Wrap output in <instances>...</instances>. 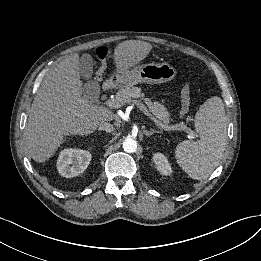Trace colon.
Listing matches in <instances>:
<instances>
[{"label":"colon","instance_id":"colon-1","mask_svg":"<svg viewBox=\"0 0 261 261\" xmlns=\"http://www.w3.org/2000/svg\"><path fill=\"white\" fill-rule=\"evenodd\" d=\"M108 56V52L105 51L104 54L100 55V58H106ZM182 93L185 95V96H190V89L188 86H185L182 90ZM187 112L181 107V110H180V114L181 115H185Z\"/></svg>","mask_w":261,"mask_h":261}]
</instances>
